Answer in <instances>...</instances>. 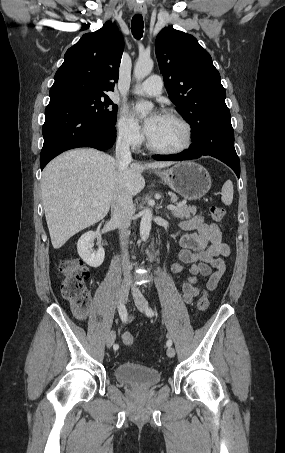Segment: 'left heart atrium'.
<instances>
[{"instance_id":"1","label":"left heart atrium","mask_w":285,"mask_h":453,"mask_svg":"<svg viewBox=\"0 0 285 453\" xmlns=\"http://www.w3.org/2000/svg\"><path fill=\"white\" fill-rule=\"evenodd\" d=\"M160 114L154 113L145 121V131L149 135L157 123Z\"/></svg>"}]
</instances>
